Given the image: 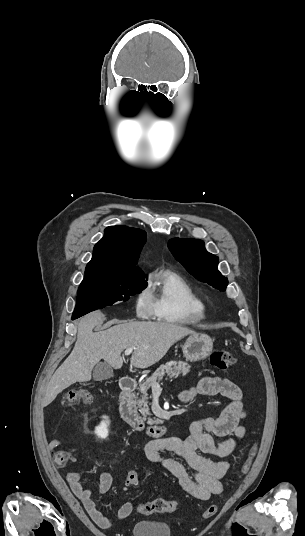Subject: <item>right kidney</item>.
Here are the masks:
<instances>
[{
  "label": "right kidney",
  "instance_id": "obj_1",
  "mask_svg": "<svg viewBox=\"0 0 305 536\" xmlns=\"http://www.w3.org/2000/svg\"><path fill=\"white\" fill-rule=\"evenodd\" d=\"M103 418H106V416H103ZM108 420L106 418L105 422H102V424H100V426H97L96 430H95V434H97V436H99V438H107L108 436Z\"/></svg>",
  "mask_w": 305,
  "mask_h": 536
}]
</instances>
